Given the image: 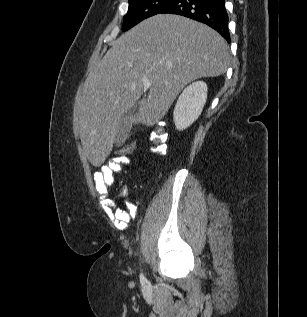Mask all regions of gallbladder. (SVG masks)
<instances>
[{
  "instance_id": "1",
  "label": "gallbladder",
  "mask_w": 307,
  "mask_h": 317,
  "mask_svg": "<svg viewBox=\"0 0 307 317\" xmlns=\"http://www.w3.org/2000/svg\"><path fill=\"white\" fill-rule=\"evenodd\" d=\"M135 116V108L130 109L128 112L122 115L115 138V144L121 146L125 140L129 137L132 126L134 125L133 118Z\"/></svg>"
}]
</instances>
